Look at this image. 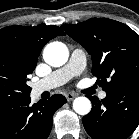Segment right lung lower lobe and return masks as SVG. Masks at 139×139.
<instances>
[{"instance_id":"obj_1","label":"right lung lower lobe","mask_w":139,"mask_h":139,"mask_svg":"<svg viewBox=\"0 0 139 139\" xmlns=\"http://www.w3.org/2000/svg\"><path fill=\"white\" fill-rule=\"evenodd\" d=\"M67 100L55 94L31 104L30 96L0 103V139H47L52 117Z\"/></svg>"}]
</instances>
